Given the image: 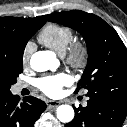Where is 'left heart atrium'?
I'll return each instance as SVG.
<instances>
[{"label":"left heart atrium","instance_id":"39dd6f15","mask_svg":"<svg viewBox=\"0 0 127 127\" xmlns=\"http://www.w3.org/2000/svg\"><path fill=\"white\" fill-rule=\"evenodd\" d=\"M72 78L66 73L45 76L37 81V87L50 97L62 94L63 87L71 84Z\"/></svg>","mask_w":127,"mask_h":127}]
</instances>
